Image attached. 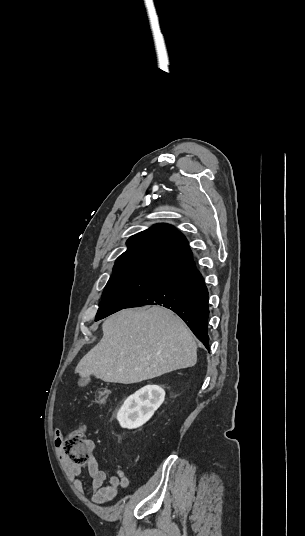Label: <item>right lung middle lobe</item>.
I'll list each match as a JSON object with an SVG mask.
<instances>
[{
  "instance_id": "right-lung-middle-lobe-1",
  "label": "right lung middle lobe",
  "mask_w": 305,
  "mask_h": 536,
  "mask_svg": "<svg viewBox=\"0 0 305 536\" xmlns=\"http://www.w3.org/2000/svg\"><path fill=\"white\" fill-rule=\"evenodd\" d=\"M164 278V276L151 275L110 277L103 291L102 301L99 304L95 321L126 308L155 287Z\"/></svg>"
}]
</instances>
